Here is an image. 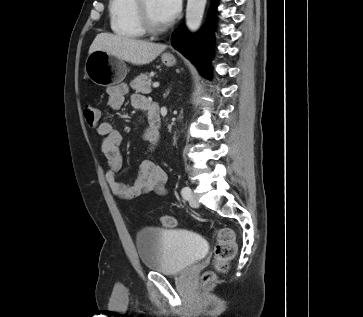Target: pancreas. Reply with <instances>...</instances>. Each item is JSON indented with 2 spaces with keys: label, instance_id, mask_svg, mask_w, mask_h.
<instances>
[{
  "label": "pancreas",
  "instance_id": "pancreas-1",
  "mask_svg": "<svg viewBox=\"0 0 363 317\" xmlns=\"http://www.w3.org/2000/svg\"><path fill=\"white\" fill-rule=\"evenodd\" d=\"M130 87L136 92L149 94L151 92V78L147 73H141L130 82Z\"/></svg>",
  "mask_w": 363,
  "mask_h": 317
}]
</instances>
